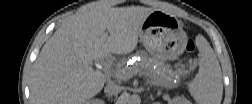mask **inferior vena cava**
I'll list each match as a JSON object with an SVG mask.
<instances>
[{
  "label": "inferior vena cava",
  "instance_id": "602c4592",
  "mask_svg": "<svg viewBox=\"0 0 252 104\" xmlns=\"http://www.w3.org/2000/svg\"><path fill=\"white\" fill-rule=\"evenodd\" d=\"M122 90V87L113 81L107 83L104 88V92L108 95H118Z\"/></svg>",
  "mask_w": 252,
  "mask_h": 104
}]
</instances>
